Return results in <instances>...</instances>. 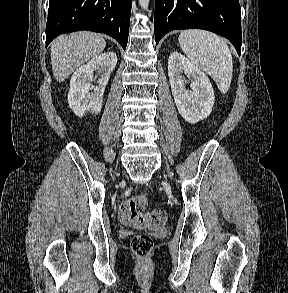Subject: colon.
<instances>
[{"label":"colon","instance_id":"1","mask_svg":"<svg viewBox=\"0 0 288 293\" xmlns=\"http://www.w3.org/2000/svg\"><path fill=\"white\" fill-rule=\"evenodd\" d=\"M147 198L144 195L133 196L125 200L119 208L122 223L135 229H156L164 225L167 214L162 209L144 212ZM131 249L137 257H147L153 249V241L147 235H137L131 241Z\"/></svg>","mask_w":288,"mask_h":293}]
</instances>
